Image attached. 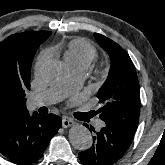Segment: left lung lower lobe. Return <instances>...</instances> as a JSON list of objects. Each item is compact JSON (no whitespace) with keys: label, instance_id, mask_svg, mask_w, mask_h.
Returning a JSON list of instances; mask_svg holds the SVG:
<instances>
[{"label":"left lung lower lobe","instance_id":"1","mask_svg":"<svg viewBox=\"0 0 165 165\" xmlns=\"http://www.w3.org/2000/svg\"><path fill=\"white\" fill-rule=\"evenodd\" d=\"M92 130L95 132L94 128ZM133 136L106 123L100 131L95 132L91 148L79 153V159L84 165H112L124 155Z\"/></svg>","mask_w":165,"mask_h":165}]
</instances>
